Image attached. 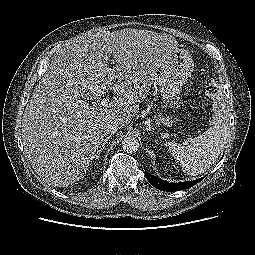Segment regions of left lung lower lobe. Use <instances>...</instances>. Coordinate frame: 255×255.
<instances>
[{
	"label": "left lung lower lobe",
	"instance_id": "0a47b994",
	"mask_svg": "<svg viewBox=\"0 0 255 255\" xmlns=\"http://www.w3.org/2000/svg\"><path fill=\"white\" fill-rule=\"evenodd\" d=\"M146 178L150 182L152 186L159 190L163 191H178L182 189H188L194 186L196 183L200 182L204 177L193 180V181H186V182H179V183H169L166 182L154 175H151L147 171H145Z\"/></svg>",
	"mask_w": 255,
	"mask_h": 255
}]
</instances>
